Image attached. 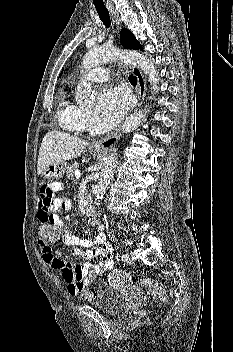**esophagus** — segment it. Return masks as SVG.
Returning <instances> with one entry per match:
<instances>
[{
	"label": "esophagus",
	"instance_id": "obj_1",
	"mask_svg": "<svg viewBox=\"0 0 233 352\" xmlns=\"http://www.w3.org/2000/svg\"><path fill=\"white\" fill-rule=\"evenodd\" d=\"M109 12L112 16V19L114 23L116 24V27L119 28L121 26V19L119 18L117 12L114 9H109ZM132 72L135 74L137 77V102L136 104L131 108L130 114L133 112H136L140 106L142 105L145 95H146V81L144 78L143 73L141 70L136 67V66H130ZM120 127L111 135L108 137L104 138L103 140L100 141H95L91 144V148L94 149H102V150H107L109 147H111L121 136L120 132Z\"/></svg>",
	"mask_w": 233,
	"mask_h": 352
}]
</instances>
